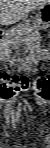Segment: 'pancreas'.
I'll list each match as a JSON object with an SVG mask.
<instances>
[{
    "label": "pancreas",
    "mask_w": 50,
    "mask_h": 148,
    "mask_svg": "<svg viewBox=\"0 0 50 148\" xmlns=\"http://www.w3.org/2000/svg\"><path fill=\"white\" fill-rule=\"evenodd\" d=\"M27 27L30 30H27ZM7 35L10 38V43L13 45L14 49H17L20 45L32 47L34 46V42L40 38L37 30L25 25H20L9 30Z\"/></svg>",
    "instance_id": "obj_1"
}]
</instances>
